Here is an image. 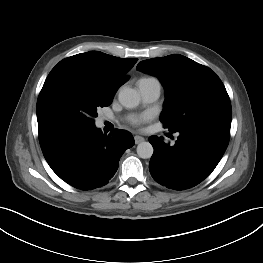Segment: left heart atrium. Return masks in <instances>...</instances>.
I'll return each mask as SVG.
<instances>
[{"label":"left heart atrium","instance_id":"39dd6f15","mask_svg":"<svg viewBox=\"0 0 263 263\" xmlns=\"http://www.w3.org/2000/svg\"><path fill=\"white\" fill-rule=\"evenodd\" d=\"M148 118L143 116V117H137V118H133L131 120V122L134 124V125H141L143 122H145Z\"/></svg>","mask_w":263,"mask_h":263}]
</instances>
